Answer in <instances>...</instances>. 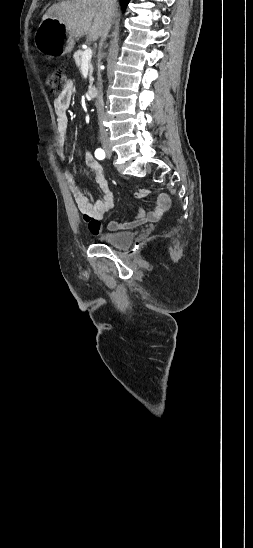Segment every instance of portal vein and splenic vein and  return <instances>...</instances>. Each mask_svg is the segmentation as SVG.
Masks as SVG:
<instances>
[{
    "label": "portal vein and splenic vein",
    "mask_w": 253,
    "mask_h": 548,
    "mask_svg": "<svg viewBox=\"0 0 253 548\" xmlns=\"http://www.w3.org/2000/svg\"><path fill=\"white\" fill-rule=\"evenodd\" d=\"M92 57V50L86 49L82 56V65H88Z\"/></svg>",
    "instance_id": "1"
}]
</instances>
